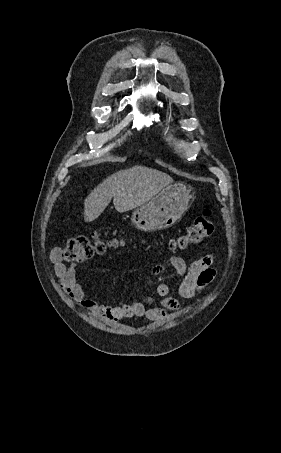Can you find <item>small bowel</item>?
<instances>
[{
	"label": "small bowel",
	"instance_id": "1",
	"mask_svg": "<svg viewBox=\"0 0 281 453\" xmlns=\"http://www.w3.org/2000/svg\"><path fill=\"white\" fill-rule=\"evenodd\" d=\"M50 262L61 286L69 296L85 309L106 320L122 321L134 316H143L150 321H157L179 307L178 301L169 295L172 289L170 283L158 285L157 292L161 297L153 294L144 301L105 304L84 288L77 279L73 266L65 262L61 249L52 250ZM170 263L179 279L175 287L186 299L194 298L199 291L211 283L216 274L212 253H207L191 263H188L184 257L175 255L170 258ZM153 272L160 275L163 273V267L156 266Z\"/></svg>",
	"mask_w": 281,
	"mask_h": 453
}]
</instances>
